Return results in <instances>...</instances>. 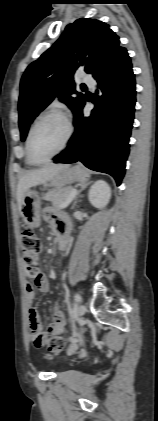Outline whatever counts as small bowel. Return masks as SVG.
<instances>
[{"label":"small bowel","mask_w":158,"mask_h":421,"mask_svg":"<svg viewBox=\"0 0 158 421\" xmlns=\"http://www.w3.org/2000/svg\"><path fill=\"white\" fill-rule=\"evenodd\" d=\"M44 218L57 235H59L61 238H69L71 224L66 214L56 212L53 209L47 207L44 210ZM25 273L30 281L26 286V297L28 303L30 304L28 314L29 327L34 345L36 347H42L44 341L49 336L60 335L63 333L65 326V315L58 307H54L52 309V321L49 323L45 330L42 329L39 314L35 307L32 306V303L35 299V290H39L41 292L48 291V279L36 266L33 268L26 266ZM37 338L40 340L39 345H37L35 342Z\"/></svg>","instance_id":"1"}]
</instances>
